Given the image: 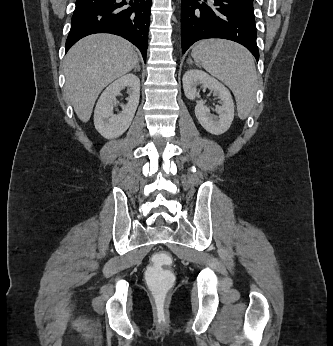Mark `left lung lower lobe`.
Masks as SVG:
<instances>
[{
  "label": "left lung lower lobe",
  "instance_id": "0a47b994",
  "mask_svg": "<svg viewBox=\"0 0 333 346\" xmlns=\"http://www.w3.org/2000/svg\"><path fill=\"white\" fill-rule=\"evenodd\" d=\"M199 1L181 0L182 52L198 40L222 38L242 44L258 61L253 4L246 0Z\"/></svg>",
  "mask_w": 333,
  "mask_h": 346
}]
</instances>
